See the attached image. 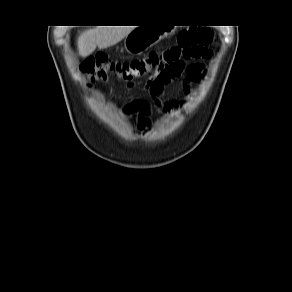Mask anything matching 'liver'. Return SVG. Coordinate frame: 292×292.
Segmentation results:
<instances>
[{"mask_svg":"<svg viewBox=\"0 0 292 292\" xmlns=\"http://www.w3.org/2000/svg\"><path fill=\"white\" fill-rule=\"evenodd\" d=\"M133 29L134 26H98L87 29L80 33L77 40L79 55L87 57L95 51L96 47L104 49L115 45Z\"/></svg>","mask_w":292,"mask_h":292,"instance_id":"1","label":"liver"}]
</instances>
